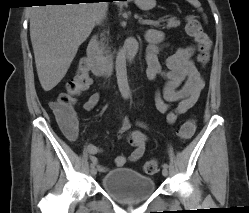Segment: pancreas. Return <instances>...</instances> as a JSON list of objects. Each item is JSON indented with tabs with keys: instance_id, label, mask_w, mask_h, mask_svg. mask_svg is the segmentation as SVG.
I'll use <instances>...</instances> for the list:
<instances>
[{
	"instance_id": "cf45deb5",
	"label": "pancreas",
	"mask_w": 249,
	"mask_h": 213,
	"mask_svg": "<svg viewBox=\"0 0 249 213\" xmlns=\"http://www.w3.org/2000/svg\"><path fill=\"white\" fill-rule=\"evenodd\" d=\"M159 25V22H154L153 26H158ZM180 25V21L177 20L176 18H171L167 21V28H175V27H178ZM101 49L102 51H104L105 53L107 52L106 51V46L104 43H102L101 45Z\"/></svg>"
}]
</instances>
